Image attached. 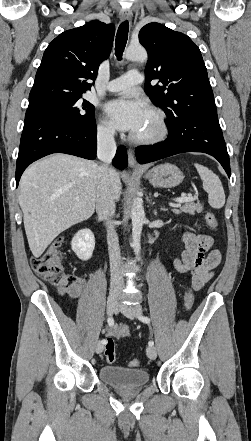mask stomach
<instances>
[{"label": "stomach", "instance_id": "1", "mask_svg": "<svg viewBox=\"0 0 251 441\" xmlns=\"http://www.w3.org/2000/svg\"><path fill=\"white\" fill-rule=\"evenodd\" d=\"M146 179L154 186L172 188L178 186L184 179L182 171L170 163L160 164L145 173Z\"/></svg>", "mask_w": 251, "mask_h": 441}]
</instances>
